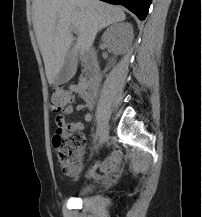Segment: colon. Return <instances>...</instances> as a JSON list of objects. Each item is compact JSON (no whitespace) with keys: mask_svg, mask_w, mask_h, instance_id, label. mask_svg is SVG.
Listing matches in <instances>:
<instances>
[{"mask_svg":"<svg viewBox=\"0 0 202 217\" xmlns=\"http://www.w3.org/2000/svg\"><path fill=\"white\" fill-rule=\"evenodd\" d=\"M74 103V94L64 89H54L50 95V108L55 114H61ZM86 144L84 134L71 127V124L57 119V129L53 135V147L58 164L63 173L75 176L81 170V156Z\"/></svg>","mask_w":202,"mask_h":217,"instance_id":"5ec220e1","label":"colon"}]
</instances>
